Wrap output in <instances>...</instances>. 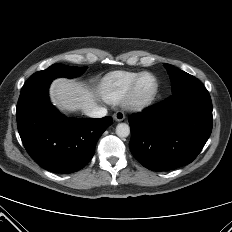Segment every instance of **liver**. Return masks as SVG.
Returning a JSON list of instances; mask_svg holds the SVG:
<instances>
[{"label": "liver", "instance_id": "liver-1", "mask_svg": "<svg viewBox=\"0 0 232 232\" xmlns=\"http://www.w3.org/2000/svg\"><path fill=\"white\" fill-rule=\"evenodd\" d=\"M50 98L60 111L85 112L96 106L93 92L83 84L66 78H58L52 82Z\"/></svg>", "mask_w": 232, "mask_h": 232}]
</instances>
